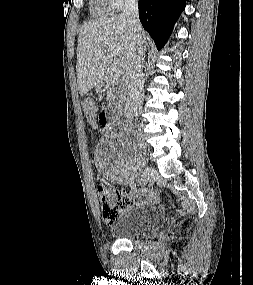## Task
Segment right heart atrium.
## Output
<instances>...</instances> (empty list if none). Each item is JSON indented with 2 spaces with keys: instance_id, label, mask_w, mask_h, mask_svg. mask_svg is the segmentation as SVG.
I'll list each match as a JSON object with an SVG mask.
<instances>
[{
  "instance_id": "obj_1",
  "label": "right heart atrium",
  "mask_w": 253,
  "mask_h": 285,
  "mask_svg": "<svg viewBox=\"0 0 253 285\" xmlns=\"http://www.w3.org/2000/svg\"><path fill=\"white\" fill-rule=\"evenodd\" d=\"M136 1L137 0H107V3L112 10H121Z\"/></svg>"
}]
</instances>
